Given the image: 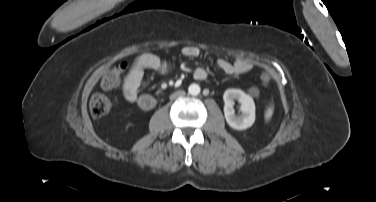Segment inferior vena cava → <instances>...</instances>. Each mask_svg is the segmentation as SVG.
Returning <instances> with one entry per match:
<instances>
[{
	"label": "inferior vena cava",
	"mask_w": 376,
	"mask_h": 202,
	"mask_svg": "<svg viewBox=\"0 0 376 202\" xmlns=\"http://www.w3.org/2000/svg\"><path fill=\"white\" fill-rule=\"evenodd\" d=\"M181 95H183V93H176V94H174L171 98L174 99V98H176V97H178V96H181Z\"/></svg>",
	"instance_id": "602c4592"
}]
</instances>
